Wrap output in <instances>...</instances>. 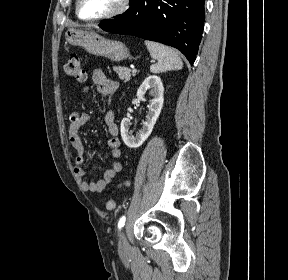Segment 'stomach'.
Wrapping results in <instances>:
<instances>
[{"mask_svg": "<svg viewBox=\"0 0 288 280\" xmlns=\"http://www.w3.org/2000/svg\"><path fill=\"white\" fill-rule=\"evenodd\" d=\"M65 39L71 45L83 47L90 54L112 61L119 62L130 57L129 49L121 41L106 39L94 31L71 28L65 32Z\"/></svg>", "mask_w": 288, "mask_h": 280, "instance_id": "0dacf381", "label": "stomach"}]
</instances>
